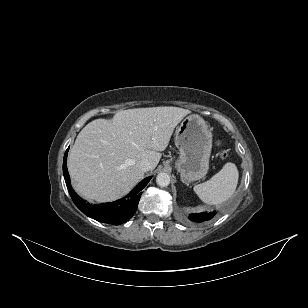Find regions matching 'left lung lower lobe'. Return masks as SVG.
I'll return each mask as SVG.
<instances>
[{"mask_svg":"<svg viewBox=\"0 0 308 308\" xmlns=\"http://www.w3.org/2000/svg\"><path fill=\"white\" fill-rule=\"evenodd\" d=\"M215 214H216L215 211L209 212V213L207 212L195 213V214H191L189 218L190 220L195 221V222H204V221L212 219Z\"/></svg>","mask_w":308,"mask_h":308,"instance_id":"obj_1","label":"left lung lower lobe"}]
</instances>
